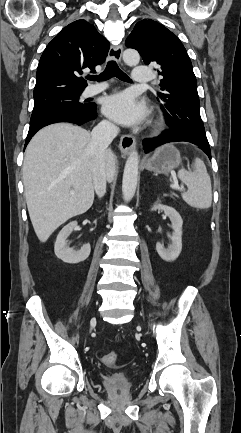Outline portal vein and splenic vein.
Instances as JSON below:
<instances>
[{"mask_svg": "<svg viewBox=\"0 0 241 433\" xmlns=\"http://www.w3.org/2000/svg\"><path fill=\"white\" fill-rule=\"evenodd\" d=\"M170 187H171L172 189H175V190H183V189H184V187H183V186H179L178 183H174V184L170 185ZM70 193L73 194L74 191L71 190Z\"/></svg>", "mask_w": 241, "mask_h": 433, "instance_id": "obj_1", "label": "portal vein and splenic vein"}]
</instances>
